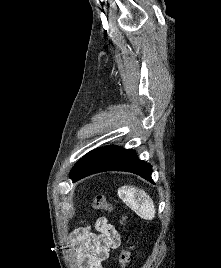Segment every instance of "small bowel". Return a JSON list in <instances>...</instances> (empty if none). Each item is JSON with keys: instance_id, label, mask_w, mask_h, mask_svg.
I'll list each match as a JSON object with an SVG mask.
<instances>
[{"instance_id": "obj_1", "label": "small bowel", "mask_w": 221, "mask_h": 268, "mask_svg": "<svg viewBox=\"0 0 221 268\" xmlns=\"http://www.w3.org/2000/svg\"><path fill=\"white\" fill-rule=\"evenodd\" d=\"M73 253L80 268H104L111 252L120 245L116 228L105 217L95 223V230L88 226L75 229L70 235Z\"/></svg>"}]
</instances>
